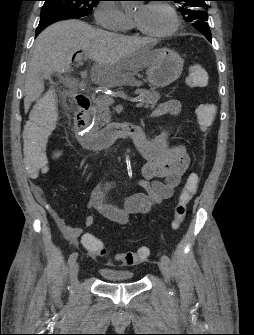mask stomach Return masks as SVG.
Returning a JSON list of instances; mask_svg holds the SVG:
<instances>
[{"instance_id": "0dacf381", "label": "stomach", "mask_w": 254, "mask_h": 335, "mask_svg": "<svg viewBox=\"0 0 254 335\" xmlns=\"http://www.w3.org/2000/svg\"><path fill=\"white\" fill-rule=\"evenodd\" d=\"M152 61L147 67V79L152 88H163L176 81L183 70L184 60L175 51L162 48L151 50Z\"/></svg>"}]
</instances>
